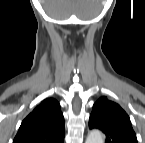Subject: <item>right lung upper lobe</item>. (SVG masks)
I'll list each match as a JSON object with an SVG mask.
<instances>
[{
  "instance_id": "1",
  "label": "right lung upper lobe",
  "mask_w": 145,
  "mask_h": 143,
  "mask_svg": "<svg viewBox=\"0 0 145 143\" xmlns=\"http://www.w3.org/2000/svg\"><path fill=\"white\" fill-rule=\"evenodd\" d=\"M64 117L59 103L45 99L21 123L13 143H63Z\"/></svg>"
}]
</instances>
